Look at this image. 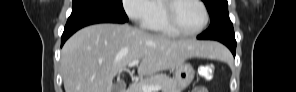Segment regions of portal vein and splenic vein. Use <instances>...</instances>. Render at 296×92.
Segmentation results:
<instances>
[{"label": "portal vein and splenic vein", "instance_id": "1", "mask_svg": "<svg viewBox=\"0 0 296 92\" xmlns=\"http://www.w3.org/2000/svg\"><path fill=\"white\" fill-rule=\"evenodd\" d=\"M138 64H139V60H134L128 64V67L131 68ZM160 89H161L160 85H146V84L142 85L143 92H156Z\"/></svg>", "mask_w": 296, "mask_h": 92}]
</instances>
